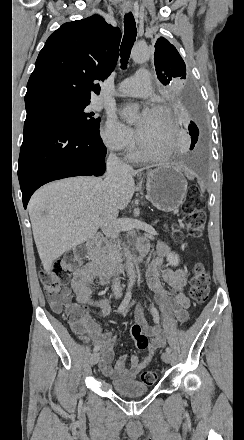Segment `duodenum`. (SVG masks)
<instances>
[{
  "mask_svg": "<svg viewBox=\"0 0 244 440\" xmlns=\"http://www.w3.org/2000/svg\"><path fill=\"white\" fill-rule=\"evenodd\" d=\"M103 246L104 241L100 235L90 238L86 243L85 253L87 258L109 275L124 271L125 267L122 262L114 256L103 253ZM145 254L146 247L142 245L138 255L135 257L136 261H141Z\"/></svg>",
  "mask_w": 244,
  "mask_h": 440,
  "instance_id": "obj_1",
  "label": "duodenum"
}]
</instances>
